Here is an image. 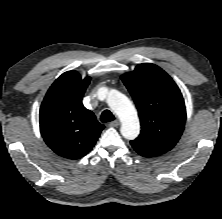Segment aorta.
Instances as JSON below:
<instances>
[{"label":"aorta","instance_id":"762f6f07","mask_svg":"<svg viewBox=\"0 0 222 219\" xmlns=\"http://www.w3.org/2000/svg\"><path fill=\"white\" fill-rule=\"evenodd\" d=\"M107 103L121 121V134L128 140L135 139L140 133L137 111L127 96L118 90L108 91Z\"/></svg>","mask_w":222,"mask_h":219}]
</instances>
